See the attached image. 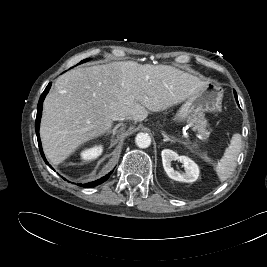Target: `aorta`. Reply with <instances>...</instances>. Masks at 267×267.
<instances>
[{
    "mask_svg": "<svg viewBox=\"0 0 267 267\" xmlns=\"http://www.w3.org/2000/svg\"><path fill=\"white\" fill-rule=\"evenodd\" d=\"M135 143L139 148H147L151 144V137L147 133H138L135 138Z\"/></svg>",
    "mask_w": 267,
    "mask_h": 267,
    "instance_id": "1",
    "label": "aorta"
}]
</instances>
